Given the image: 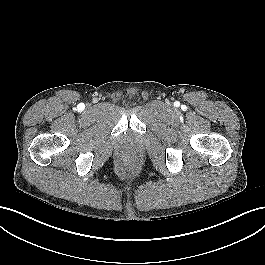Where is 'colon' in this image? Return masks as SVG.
<instances>
[{
  "mask_svg": "<svg viewBox=\"0 0 265 265\" xmlns=\"http://www.w3.org/2000/svg\"><path fill=\"white\" fill-rule=\"evenodd\" d=\"M136 162V155L132 152H126L121 156V166L124 169H130Z\"/></svg>",
  "mask_w": 265,
  "mask_h": 265,
  "instance_id": "1",
  "label": "colon"
}]
</instances>
